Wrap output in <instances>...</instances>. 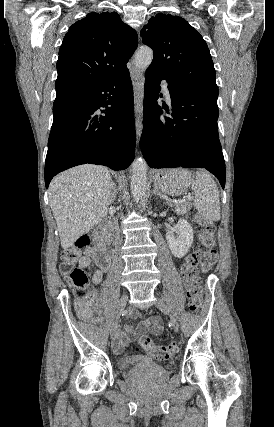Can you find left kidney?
Masks as SVG:
<instances>
[{
    "label": "left kidney",
    "mask_w": 274,
    "mask_h": 427,
    "mask_svg": "<svg viewBox=\"0 0 274 427\" xmlns=\"http://www.w3.org/2000/svg\"><path fill=\"white\" fill-rule=\"evenodd\" d=\"M166 239L168 247L175 257L186 255L193 243V229L187 219H179L172 229H168Z\"/></svg>",
    "instance_id": "5707ae66"
}]
</instances>
